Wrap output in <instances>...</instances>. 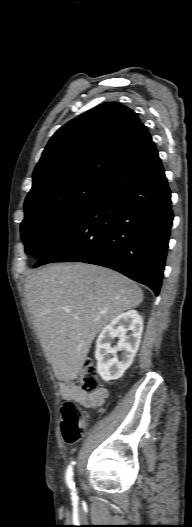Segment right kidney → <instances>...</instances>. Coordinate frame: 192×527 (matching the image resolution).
I'll return each mask as SVG.
<instances>
[{
	"instance_id": "right-kidney-1",
	"label": "right kidney",
	"mask_w": 192,
	"mask_h": 527,
	"mask_svg": "<svg viewBox=\"0 0 192 527\" xmlns=\"http://www.w3.org/2000/svg\"><path fill=\"white\" fill-rule=\"evenodd\" d=\"M130 331V335H126ZM143 319L135 310L122 313L105 326L96 341L95 358L97 371L104 381L116 380L122 377L130 367L138 351ZM119 338L116 347H111V341ZM122 351L120 359L117 352Z\"/></svg>"
}]
</instances>
